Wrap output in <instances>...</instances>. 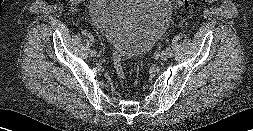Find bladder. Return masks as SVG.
<instances>
[{
    "label": "bladder",
    "instance_id": "bladder-1",
    "mask_svg": "<svg viewBox=\"0 0 253 131\" xmlns=\"http://www.w3.org/2000/svg\"><path fill=\"white\" fill-rule=\"evenodd\" d=\"M91 18L109 45L133 59L157 41L170 21V0H91Z\"/></svg>",
    "mask_w": 253,
    "mask_h": 131
}]
</instances>
